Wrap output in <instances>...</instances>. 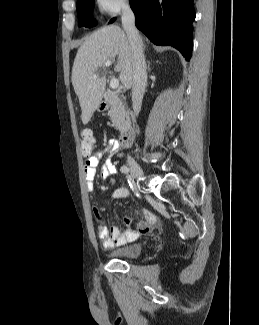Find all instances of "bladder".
<instances>
[{"label":"bladder","mask_w":259,"mask_h":325,"mask_svg":"<svg viewBox=\"0 0 259 325\" xmlns=\"http://www.w3.org/2000/svg\"><path fill=\"white\" fill-rule=\"evenodd\" d=\"M142 251V244L132 243L112 249L108 255L113 259H134L137 258Z\"/></svg>","instance_id":"1"}]
</instances>
